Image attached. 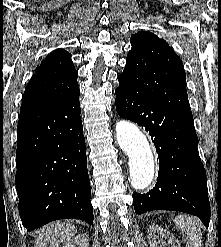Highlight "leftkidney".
<instances>
[{
	"mask_svg": "<svg viewBox=\"0 0 221 247\" xmlns=\"http://www.w3.org/2000/svg\"><path fill=\"white\" fill-rule=\"evenodd\" d=\"M159 237L161 239H167L168 245L171 247H181L178 240L167 230H164L157 225L150 226V233L147 236L150 247H158L159 243L157 242V239Z\"/></svg>",
	"mask_w": 221,
	"mask_h": 247,
	"instance_id": "left-kidney-1",
	"label": "left kidney"
}]
</instances>
